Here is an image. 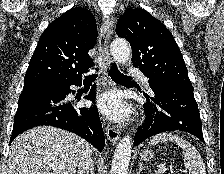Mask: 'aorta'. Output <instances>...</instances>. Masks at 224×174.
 Masks as SVG:
<instances>
[{
  "instance_id": "762f6f07",
  "label": "aorta",
  "mask_w": 224,
  "mask_h": 174,
  "mask_svg": "<svg viewBox=\"0 0 224 174\" xmlns=\"http://www.w3.org/2000/svg\"><path fill=\"white\" fill-rule=\"evenodd\" d=\"M110 51L117 63L124 64L131 58V48L125 39H115L111 43ZM131 148L132 139L129 136L121 139L114 152L110 174H128Z\"/></svg>"
}]
</instances>
